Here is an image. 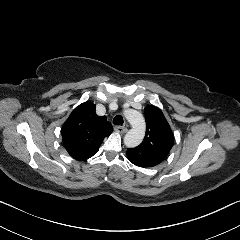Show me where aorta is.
I'll return each mask as SVG.
<instances>
[{
  "mask_svg": "<svg viewBox=\"0 0 240 240\" xmlns=\"http://www.w3.org/2000/svg\"><path fill=\"white\" fill-rule=\"evenodd\" d=\"M126 118L132 128L127 132L124 141L127 146L135 147L139 145L144 138L146 130L145 120L141 113L134 110H128L126 112Z\"/></svg>",
  "mask_w": 240,
  "mask_h": 240,
  "instance_id": "1",
  "label": "aorta"
}]
</instances>
